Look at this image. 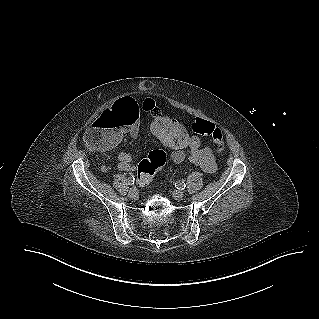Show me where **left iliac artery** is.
I'll use <instances>...</instances> for the list:
<instances>
[{"instance_id":"obj_1","label":"left iliac artery","mask_w":319,"mask_h":319,"mask_svg":"<svg viewBox=\"0 0 319 319\" xmlns=\"http://www.w3.org/2000/svg\"><path fill=\"white\" fill-rule=\"evenodd\" d=\"M175 187L180 190H184L186 188V184L183 181H177L175 183Z\"/></svg>"}]
</instances>
